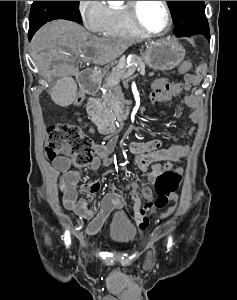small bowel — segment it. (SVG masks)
I'll return each mask as SVG.
<instances>
[{
  "mask_svg": "<svg viewBox=\"0 0 237 300\" xmlns=\"http://www.w3.org/2000/svg\"><path fill=\"white\" fill-rule=\"evenodd\" d=\"M204 66L201 65L196 74L191 76L189 83H184V89L189 91L194 85L198 84L202 79ZM169 83L166 78L156 80L151 84V90ZM182 86L177 85V88L171 92L162 101H168L173 96H178L181 93ZM83 99V95L79 94L75 100L78 104ZM184 103L192 107L189 112L191 121L196 122L198 113L194 107V100L190 95L183 96ZM94 131V129H92ZM195 127L192 126L189 135L192 136ZM113 145H97L95 147L94 159L85 168V171L92 173L100 168L112 167L114 158L112 156ZM127 151L133 155V162L142 172H147L151 180L153 177L164 170H172V163L179 161L187 156V149L183 146L170 145L163 147V142L160 139H152L146 142L132 141L127 146ZM160 162H166L161 164ZM53 166L62 175L59 180V190L62 194L63 205L66 209L73 211L80 218L88 220L89 223L86 232L89 235L96 234L104 225L110 213L123 205V191L117 186L112 185L111 191L105 194L101 201L97 212H94L88 205L86 199L78 197V188L90 196H95L102 187L101 178H97L91 182H82L84 171L71 169V160L68 156H59L53 160ZM182 172V169H177ZM137 185H127L126 190L130 191L134 200L135 220L139 228L146 229L149 225L147 212L151 208L150 205L141 206L140 197L137 194ZM176 206L170 207L162 214V217L171 215Z\"/></svg>",
  "mask_w": 237,
  "mask_h": 300,
  "instance_id": "obj_1",
  "label": "small bowel"
}]
</instances>
